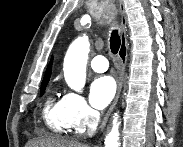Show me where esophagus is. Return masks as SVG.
I'll list each match as a JSON object with an SVG mask.
<instances>
[{
	"label": "esophagus",
	"mask_w": 183,
	"mask_h": 147,
	"mask_svg": "<svg viewBox=\"0 0 183 147\" xmlns=\"http://www.w3.org/2000/svg\"><path fill=\"white\" fill-rule=\"evenodd\" d=\"M119 10H120V15H121V25H120L121 46L118 51V57L120 60V74H119V78L117 80V92H116V95L114 97L112 104L110 105L107 113L105 114V116L101 122V125H100L101 131L105 128L107 121L118 102V99H119V96H120V93L122 90L125 67H126V63H127V16H126L125 5H124L123 0L119 1Z\"/></svg>",
	"instance_id": "esophagus-1"
}]
</instances>
